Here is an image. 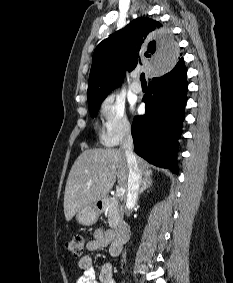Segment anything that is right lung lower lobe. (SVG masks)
Wrapping results in <instances>:
<instances>
[{
  "label": "right lung lower lobe",
  "mask_w": 233,
  "mask_h": 283,
  "mask_svg": "<svg viewBox=\"0 0 233 283\" xmlns=\"http://www.w3.org/2000/svg\"><path fill=\"white\" fill-rule=\"evenodd\" d=\"M187 70L181 58L171 70H163L149 84L143 97L145 115L132 124L135 152L148 162L177 173V139L181 135L187 93Z\"/></svg>",
  "instance_id": "right-lung-lower-lobe-1"
}]
</instances>
